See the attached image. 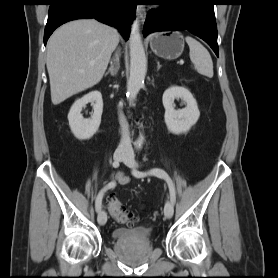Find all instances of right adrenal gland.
<instances>
[{
    "mask_svg": "<svg viewBox=\"0 0 278 278\" xmlns=\"http://www.w3.org/2000/svg\"><path fill=\"white\" fill-rule=\"evenodd\" d=\"M120 64H119V57L116 54L115 57L113 58V60H111L110 62V68L108 69V71L105 73V76L108 75L109 73L114 76L117 74L118 70H119Z\"/></svg>",
    "mask_w": 278,
    "mask_h": 278,
    "instance_id": "1",
    "label": "right adrenal gland"
}]
</instances>
